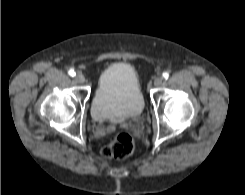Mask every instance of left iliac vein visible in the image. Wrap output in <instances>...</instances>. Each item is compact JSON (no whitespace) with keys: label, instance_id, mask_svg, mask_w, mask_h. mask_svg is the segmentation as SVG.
I'll list each match as a JSON object with an SVG mask.
<instances>
[{"label":"left iliac vein","instance_id":"obj_1","mask_svg":"<svg viewBox=\"0 0 245 195\" xmlns=\"http://www.w3.org/2000/svg\"><path fill=\"white\" fill-rule=\"evenodd\" d=\"M163 80H164L163 76L156 77L155 80H154V85L155 86H160L163 83Z\"/></svg>","mask_w":245,"mask_h":195}]
</instances>
